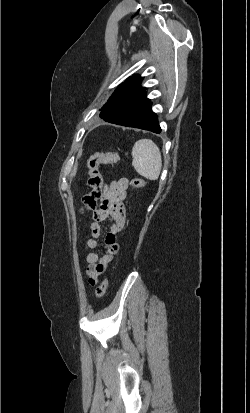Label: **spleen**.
Wrapping results in <instances>:
<instances>
[{
  "label": "spleen",
  "instance_id": "obj_1",
  "mask_svg": "<svg viewBox=\"0 0 250 413\" xmlns=\"http://www.w3.org/2000/svg\"><path fill=\"white\" fill-rule=\"evenodd\" d=\"M131 154L132 165L138 174L149 180L158 179L162 168V158L158 146L152 140L136 141Z\"/></svg>",
  "mask_w": 250,
  "mask_h": 413
}]
</instances>
